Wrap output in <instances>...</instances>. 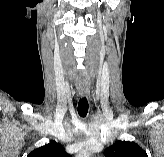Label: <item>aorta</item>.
Segmentation results:
<instances>
[{
  "mask_svg": "<svg viewBox=\"0 0 164 157\" xmlns=\"http://www.w3.org/2000/svg\"><path fill=\"white\" fill-rule=\"evenodd\" d=\"M77 157H90V153L88 151H83L79 153Z\"/></svg>",
  "mask_w": 164,
  "mask_h": 157,
  "instance_id": "obj_1",
  "label": "aorta"
}]
</instances>
